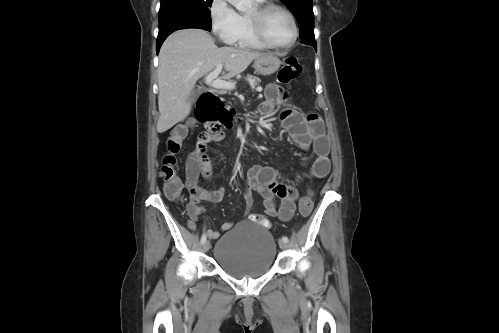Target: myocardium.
<instances>
[{
  "instance_id": "myocardium-1",
  "label": "myocardium",
  "mask_w": 499,
  "mask_h": 333,
  "mask_svg": "<svg viewBox=\"0 0 499 333\" xmlns=\"http://www.w3.org/2000/svg\"><path fill=\"white\" fill-rule=\"evenodd\" d=\"M280 10L284 12L290 19L293 29L292 38L285 44H274L272 43L264 30V18L265 16L272 10ZM248 19L253 30L255 36L268 48L272 49H287L294 45L298 38V25L296 22V18L294 14L285 6L275 3V2H266L262 4H258L255 7V12L253 14H248Z\"/></svg>"
}]
</instances>
